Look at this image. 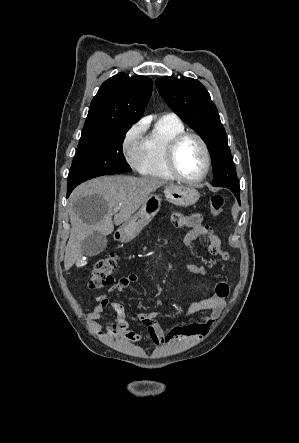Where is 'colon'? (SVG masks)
I'll use <instances>...</instances> for the list:
<instances>
[{
  "label": "colon",
  "instance_id": "colon-1",
  "mask_svg": "<svg viewBox=\"0 0 299 443\" xmlns=\"http://www.w3.org/2000/svg\"><path fill=\"white\" fill-rule=\"evenodd\" d=\"M224 199L222 196L214 195L210 200L211 213L214 216H219L223 212ZM117 257L114 254L99 259L88 277V285L92 289H99L109 286L113 282L112 273L117 266Z\"/></svg>",
  "mask_w": 299,
  "mask_h": 443
}]
</instances>
